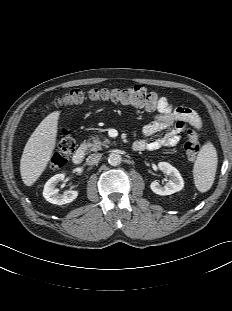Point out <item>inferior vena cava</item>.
<instances>
[{
    "instance_id": "1",
    "label": "inferior vena cava",
    "mask_w": 232,
    "mask_h": 311,
    "mask_svg": "<svg viewBox=\"0 0 232 311\" xmlns=\"http://www.w3.org/2000/svg\"><path fill=\"white\" fill-rule=\"evenodd\" d=\"M101 157L99 153L91 154L87 157L86 162L88 165H96L99 163Z\"/></svg>"
}]
</instances>
